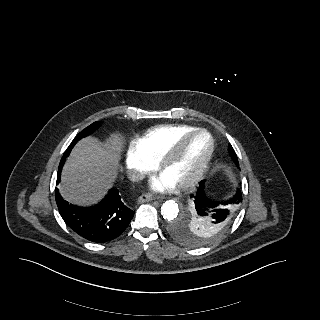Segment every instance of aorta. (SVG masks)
I'll use <instances>...</instances> for the list:
<instances>
[{
    "label": "aorta",
    "instance_id": "762f6f07",
    "mask_svg": "<svg viewBox=\"0 0 320 320\" xmlns=\"http://www.w3.org/2000/svg\"><path fill=\"white\" fill-rule=\"evenodd\" d=\"M178 213L179 208L178 204L175 201L169 200L163 203L161 207V215L165 220H174L177 217Z\"/></svg>",
    "mask_w": 320,
    "mask_h": 320
}]
</instances>
